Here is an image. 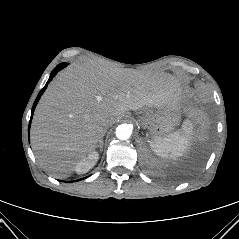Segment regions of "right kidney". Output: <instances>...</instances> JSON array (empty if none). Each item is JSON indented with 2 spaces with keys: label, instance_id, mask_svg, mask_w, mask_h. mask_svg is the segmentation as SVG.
<instances>
[{
  "label": "right kidney",
  "instance_id": "right-kidney-1",
  "mask_svg": "<svg viewBox=\"0 0 239 239\" xmlns=\"http://www.w3.org/2000/svg\"><path fill=\"white\" fill-rule=\"evenodd\" d=\"M99 159V155L97 152L93 151L87 157L78 161L75 166V171L78 174L87 173L91 168H93Z\"/></svg>",
  "mask_w": 239,
  "mask_h": 239
}]
</instances>
